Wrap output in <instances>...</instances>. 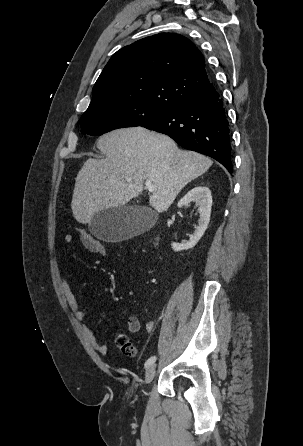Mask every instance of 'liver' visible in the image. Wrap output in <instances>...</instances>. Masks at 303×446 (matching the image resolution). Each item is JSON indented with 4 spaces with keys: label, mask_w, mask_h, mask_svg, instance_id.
Returning a JSON list of instances; mask_svg holds the SVG:
<instances>
[{
    "label": "liver",
    "mask_w": 303,
    "mask_h": 446,
    "mask_svg": "<svg viewBox=\"0 0 303 446\" xmlns=\"http://www.w3.org/2000/svg\"><path fill=\"white\" fill-rule=\"evenodd\" d=\"M97 148L106 157L86 160L75 179L71 208L82 224L90 223L96 213L124 206L142 194L144 180L154 186L150 205L162 213L189 182L213 164L208 157L180 150L170 137L143 127L104 134Z\"/></svg>",
    "instance_id": "liver-1"
}]
</instances>
